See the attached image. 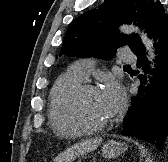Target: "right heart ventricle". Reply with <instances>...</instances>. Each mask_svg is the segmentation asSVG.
<instances>
[{
	"instance_id": "e07e8e85",
	"label": "right heart ventricle",
	"mask_w": 168,
	"mask_h": 162,
	"mask_svg": "<svg viewBox=\"0 0 168 162\" xmlns=\"http://www.w3.org/2000/svg\"><path fill=\"white\" fill-rule=\"evenodd\" d=\"M83 81L71 68L61 74L54 82L49 96L48 118L53 131L61 137H75L85 131L74 124L64 112V102L69 93Z\"/></svg>"
}]
</instances>
